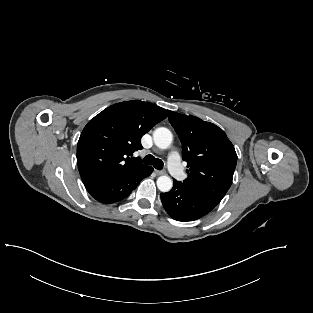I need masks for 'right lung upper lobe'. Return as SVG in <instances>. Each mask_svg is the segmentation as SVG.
Returning <instances> with one entry per match:
<instances>
[{"label": "right lung upper lobe", "mask_w": 313, "mask_h": 313, "mask_svg": "<svg viewBox=\"0 0 313 313\" xmlns=\"http://www.w3.org/2000/svg\"><path fill=\"white\" fill-rule=\"evenodd\" d=\"M169 110L139 100L114 104L91 119L77 145V164L85 184L115 179L146 167L133 152L141 137Z\"/></svg>", "instance_id": "1"}]
</instances>
